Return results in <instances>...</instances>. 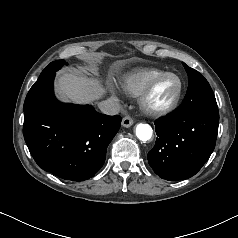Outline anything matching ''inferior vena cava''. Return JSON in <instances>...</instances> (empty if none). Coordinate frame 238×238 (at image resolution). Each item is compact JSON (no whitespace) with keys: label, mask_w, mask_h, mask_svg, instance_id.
Here are the masks:
<instances>
[{"label":"inferior vena cava","mask_w":238,"mask_h":238,"mask_svg":"<svg viewBox=\"0 0 238 238\" xmlns=\"http://www.w3.org/2000/svg\"><path fill=\"white\" fill-rule=\"evenodd\" d=\"M99 109L104 114L115 115L119 113L121 106L116 97H110L109 99L99 103Z\"/></svg>","instance_id":"inferior-vena-cava-1"}]
</instances>
